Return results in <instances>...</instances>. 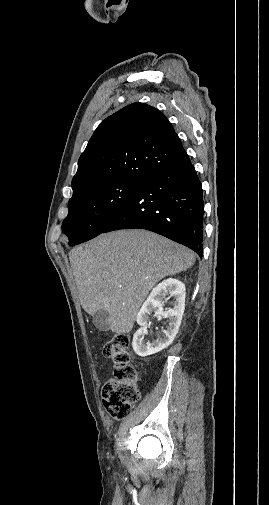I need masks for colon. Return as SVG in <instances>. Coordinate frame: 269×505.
<instances>
[{
  "label": "colon",
  "instance_id": "colon-1",
  "mask_svg": "<svg viewBox=\"0 0 269 505\" xmlns=\"http://www.w3.org/2000/svg\"><path fill=\"white\" fill-rule=\"evenodd\" d=\"M130 338L116 334L104 346V355L114 365L113 377L102 387V403L114 419H123L139 401L138 373L130 361Z\"/></svg>",
  "mask_w": 269,
  "mask_h": 505
}]
</instances>
